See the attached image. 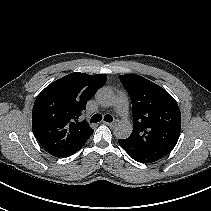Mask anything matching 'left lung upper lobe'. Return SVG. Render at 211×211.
I'll use <instances>...</instances> for the list:
<instances>
[{
	"instance_id": "left-lung-upper-lobe-1",
	"label": "left lung upper lobe",
	"mask_w": 211,
	"mask_h": 211,
	"mask_svg": "<svg viewBox=\"0 0 211 211\" xmlns=\"http://www.w3.org/2000/svg\"><path fill=\"white\" fill-rule=\"evenodd\" d=\"M132 102L134 120L125 144L158 159L175 147L181 130V113L175 99L162 87L135 75H120Z\"/></svg>"
}]
</instances>
